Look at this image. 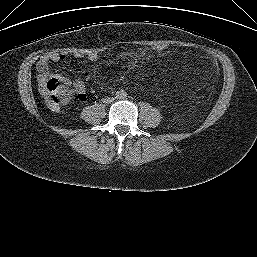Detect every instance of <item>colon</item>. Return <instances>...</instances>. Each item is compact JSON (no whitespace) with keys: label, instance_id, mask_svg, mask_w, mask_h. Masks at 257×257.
Masks as SVG:
<instances>
[{"label":"colon","instance_id":"5ec220e1","mask_svg":"<svg viewBox=\"0 0 257 257\" xmlns=\"http://www.w3.org/2000/svg\"><path fill=\"white\" fill-rule=\"evenodd\" d=\"M167 49L165 45L158 44L152 47L157 53H162ZM42 93L48 106L52 109H58L62 105L69 104L74 97L73 92L61 83L57 78H50L41 85Z\"/></svg>","mask_w":257,"mask_h":257}]
</instances>
